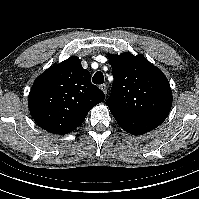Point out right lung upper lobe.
<instances>
[{"instance_id":"cb5924a9","label":"right lung upper lobe","mask_w":199,"mask_h":199,"mask_svg":"<svg viewBox=\"0 0 199 199\" xmlns=\"http://www.w3.org/2000/svg\"><path fill=\"white\" fill-rule=\"evenodd\" d=\"M104 99V93L91 83L89 71L72 56L34 81L28 104L38 126L53 134H67Z\"/></svg>"}]
</instances>
